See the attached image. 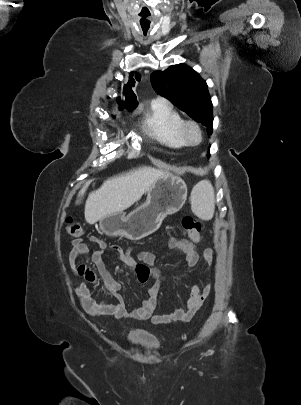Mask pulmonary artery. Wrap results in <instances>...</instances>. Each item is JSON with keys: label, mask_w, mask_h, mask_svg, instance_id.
<instances>
[{"label": "pulmonary artery", "mask_w": 301, "mask_h": 405, "mask_svg": "<svg viewBox=\"0 0 301 405\" xmlns=\"http://www.w3.org/2000/svg\"><path fill=\"white\" fill-rule=\"evenodd\" d=\"M158 101H159V102H164V103H165V101H164V100H162V99H159Z\"/></svg>", "instance_id": "pulmonary-artery-1"}]
</instances>
